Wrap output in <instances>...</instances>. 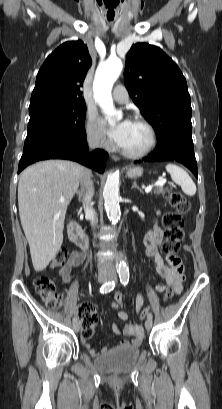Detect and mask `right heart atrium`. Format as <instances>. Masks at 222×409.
I'll return each mask as SVG.
<instances>
[{
    "mask_svg": "<svg viewBox=\"0 0 222 409\" xmlns=\"http://www.w3.org/2000/svg\"><path fill=\"white\" fill-rule=\"evenodd\" d=\"M85 131H86L87 141L91 146L99 148V149H109L110 148V142L107 139L104 130L98 123L95 114L88 113L86 125H85Z\"/></svg>",
    "mask_w": 222,
    "mask_h": 409,
    "instance_id": "d8ad5b80",
    "label": "right heart atrium"
}]
</instances>
